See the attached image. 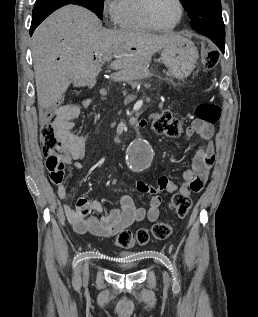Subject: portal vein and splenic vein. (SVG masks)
<instances>
[{
    "label": "portal vein and splenic vein",
    "instance_id": "portal-vein-and-splenic-vein-1",
    "mask_svg": "<svg viewBox=\"0 0 258 317\" xmlns=\"http://www.w3.org/2000/svg\"><path fill=\"white\" fill-rule=\"evenodd\" d=\"M105 60H111L112 56H104Z\"/></svg>",
    "mask_w": 258,
    "mask_h": 317
}]
</instances>
